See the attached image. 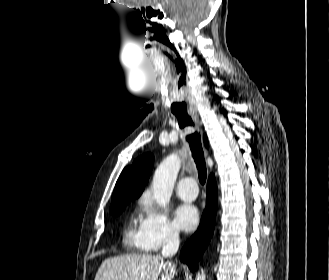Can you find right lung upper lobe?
<instances>
[{"label": "right lung upper lobe", "instance_id": "right-lung-upper-lobe-1", "mask_svg": "<svg viewBox=\"0 0 329 280\" xmlns=\"http://www.w3.org/2000/svg\"><path fill=\"white\" fill-rule=\"evenodd\" d=\"M204 143L208 147L206 135L204 136ZM153 160V155L146 153L138 157L132 166L126 167L122 171L114 188L110 208L120 201L134 199L141 195L151 174Z\"/></svg>", "mask_w": 329, "mask_h": 280}]
</instances>
